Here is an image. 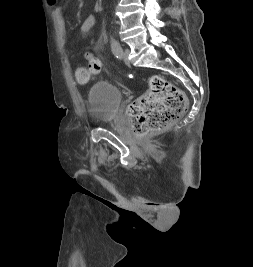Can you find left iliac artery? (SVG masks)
I'll list each match as a JSON object with an SVG mask.
<instances>
[{"label": "left iliac artery", "instance_id": "1", "mask_svg": "<svg viewBox=\"0 0 253 267\" xmlns=\"http://www.w3.org/2000/svg\"><path fill=\"white\" fill-rule=\"evenodd\" d=\"M111 48L113 51V54L117 57V58H121L120 54L122 51L121 45L119 44V42L111 35Z\"/></svg>", "mask_w": 253, "mask_h": 267}]
</instances>
